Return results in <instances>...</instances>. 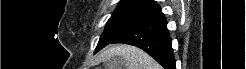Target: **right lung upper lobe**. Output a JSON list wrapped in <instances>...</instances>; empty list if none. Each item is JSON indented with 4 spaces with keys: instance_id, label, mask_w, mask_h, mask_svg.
<instances>
[{
    "instance_id": "cb5924a9",
    "label": "right lung upper lobe",
    "mask_w": 246,
    "mask_h": 69,
    "mask_svg": "<svg viewBox=\"0 0 246 69\" xmlns=\"http://www.w3.org/2000/svg\"><path fill=\"white\" fill-rule=\"evenodd\" d=\"M153 0H121L111 18L123 16H143L147 12L158 8Z\"/></svg>"
}]
</instances>
